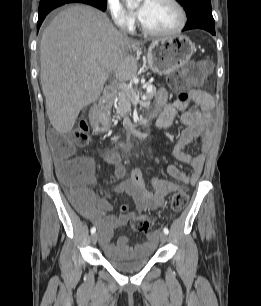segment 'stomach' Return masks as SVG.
<instances>
[{
  "label": "stomach",
  "mask_w": 261,
  "mask_h": 306,
  "mask_svg": "<svg viewBox=\"0 0 261 306\" xmlns=\"http://www.w3.org/2000/svg\"><path fill=\"white\" fill-rule=\"evenodd\" d=\"M195 51V45L185 35H173L154 40L147 51L148 67L159 75L170 74L183 67ZM91 124L96 131L108 129L109 119L99 115L91 117Z\"/></svg>",
  "instance_id": "stomach-1"
}]
</instances>
